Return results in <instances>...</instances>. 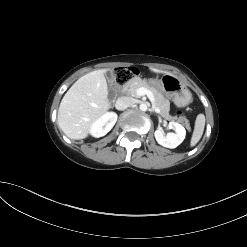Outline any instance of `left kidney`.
<instances>
[{
	"mask_svg": "<svg viewBox=\"0 0 247 247\" xmlns=\"http://www.w3.org/2000/svg\"><path fill=\"white\" fill-rule=\"evenodd\" d=\"M169 128L175 130L176 133H168L165 136L162 129H157L154 135L158 144L173 149L183 142L186 136V130L181 124L174 121L169 123Z\"/></svg>",
	"mask_w": 247,
	"mask_h": 247,
	"instance_id": "obj_1",
	"label": "left kidney"
}]
</instances>
